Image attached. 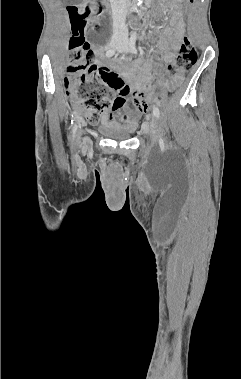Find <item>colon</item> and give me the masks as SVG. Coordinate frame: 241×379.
I'll return each instance as SVG.
<instances>
[{
    "mask_svg": "<svg viewBox=\"0 0 241 379\" xmlns=\"http://www.w3.org/2000/svg\"><path fill=\"white\" fill-rule=\"evenodd\" d=\"M195 1L187 0V3L192 5ZM96 3L99 8L101 0H96ZM66 10L75 35L69 42L71 60L66 67V88L70 97L84 112L86 119L90 123H97L102 114L114 105L115 97L109 89L123 96L129 92V89L113 72L94 63V51L81 37L86 28V19L90 14L89 7L68 5ZM196 62L197 52L191 41L185 37L178 48L176 65L181 73H184L190 71ZM176 91V85H166L165 88L151 87L143 101H150L160 93L172 99Z\"/></svg>",
    "mask_w": 241,
    "mask_h": 379,
    "instance_id": "obj_1",
    "label": "colon"
}]
</instances>
